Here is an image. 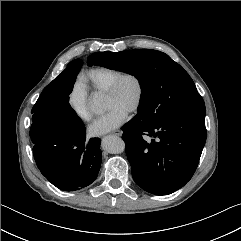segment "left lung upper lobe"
Listing matches in <instances>:
<instances>
[{"label":"left lung upper lobe","instance_id":"1","mask_svg":"<svg viewBox=\"0 0 241 241\" xmlns=\"http://www.w3.org/2000/svg\"><path fill=\"white\" fill-rule=\"evenodd\" d=\"M96 65L134 75L142 88L137 117L156 123L175 114L205 115V104L188 73L167 54L149 49L96 52Z\"/></svg>","mask_w":241,"mask_h":241}]
</instances>
